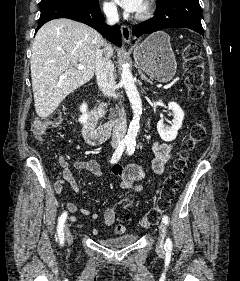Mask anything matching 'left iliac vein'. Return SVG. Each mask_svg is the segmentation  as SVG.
I'll list each match as a JSON object with an SVG mask.
<instances>
[{"label":"left iliac vein","mask_w":240,"mask_h":281,"mask_svg":"<svg viewBox=\"0 0 240 281\" xmlns=\"http://www.w3.org/2000/svg\"><path fill=\"white\" fill-rule=\"evenodd\" d=\"M159 233H160V237L156 246V250L158 253H163L164 252V241H165V237H166V225L164 222H161L159 224Z\"/></svg>","instance_id":"obj_1"}]
</instances>
